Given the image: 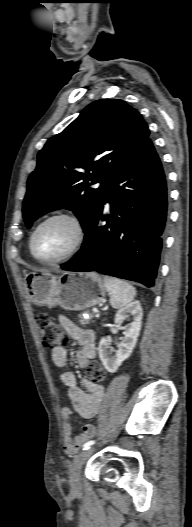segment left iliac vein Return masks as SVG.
<instances>
[{
    "label": "left iliac vein",
    "instance_id": "left-iliac-vein-1",
    "mask_svg": "<svg viewBox=\"0 0 192 527\" xmlns=\"http://www.w3.org/2000/svg\"><path fill=\"white\" fill-rule=\"evenodd\" d=\"M92 453V448L80 452L71 465L69 483L73 492H79L82 488L81 470L84 463L87 461V459L91 456Z\"/></svg>",
    "mask_w": 192,
    "mask_h": 527
}]
</instances>
